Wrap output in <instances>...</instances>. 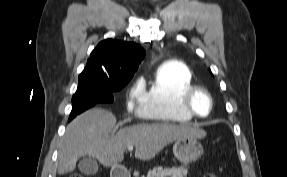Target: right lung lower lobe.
I'll list each match as a JSON object with an SVG mask.
<instances>
[{
  "mask_svg": "<svg viewBox=\"0 0 287 177\" xmlns=\"http://www.w3.org/2000/svg\"><path fill=\"white\" fill-rule=\"evenodd\" d=\"M98 103L95 102H89V103H79L76 105H73L71 113H75V115L70 116L69 121L72 120L76 115L82 113L83 111L95 106Z\"/></svg>",
  "mask_w": 287,
  "mask_h": 177,
  "instance_id": "obj_1",
  "label": "right lung lower lobe"
}]
</instances>
